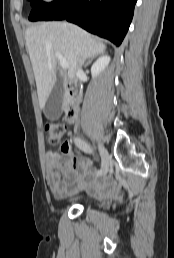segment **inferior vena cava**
Listing matches in <instances>:
<instances>
[{"mask_svg":"<svg viewBox=\"0 0 174 258\" xmlns=\"http://www.w3.org/2000/svg\"><path fill=\"white\" fill-rule=\"evenodd\" d=\"M83 62H84V60H83V59H82V60H80V63H79L80 67L78 68L77 73H80V72L82 71V70H81V66H82Z\"/></svg>","mask_w":174,"mask_h":258,"instance_id":"1","label":"inferior vena cava"}]
</instances>
